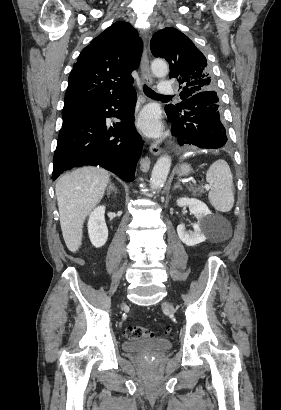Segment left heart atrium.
Listing matches in <instances>:
<instances>
[{
    "instance_id": "obj_1",
    "label": "left heart atrium",
    "mask_w": 281,
    "mask_h": 410,
    "mask_svg": "<svg viewBox=\"0 0 281 410\" xmlns=\"http://www.w3.org/2000/svg\"><path fill=\"white\" fill-rule=\"evenodd\" d=\"M139 127L150 135H157L161 131L158 113L154 109H146L138 120Z\"/></svg>"
}]
</instances>
